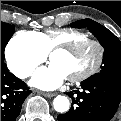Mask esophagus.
Listing matches in <instances>:
<instances>
[{
  "label": "esophagus",
  "mask_w": 121,
  "mask_h": 121,
  "mask_svg": "<svg viewBox=\"0 0 121 121\" xmlns=\"http://www.w3.org/2000/svg\"><path fill=\"white\" fill-rule=\"evenodd\" d=\"M42 94L48 98L54 97L56 95V93H46V92H43Z\"/></svg>",
  "instance_id": "34e87169"
}]
</instances>
